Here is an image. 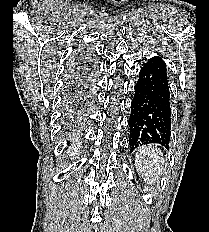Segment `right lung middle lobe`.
Here are the masks:
<instances>
[{"label": "right lung middle lobe", "instance_id": "1", "mask_svg": "<svg viewBox=\"0 0 209 232\" xmlns=\"http://www.w3.org/2000/svg\"><path fill=\"white\" fill-rule=\"evenodd\" d=\"M86 71V69H85ZM83 70V72H85ZM77 73L72 74L71 76V84L67 88V91L65 92V112L68 114V122H75V120L78 119V115L74 114L77 113L78 107L80 106V100H79V92L80 87H76L75 84L72 85V81H75Z\"/></svg>", "mask_w": 209, "mask_h": 232}]
</instances>
